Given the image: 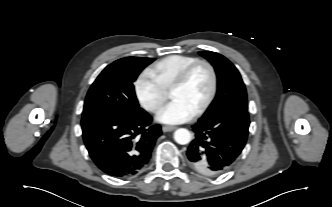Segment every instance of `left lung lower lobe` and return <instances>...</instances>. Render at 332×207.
<instances>
[{
    "label": "left lung lower lobe",
    "mask_w": 332,
    "mask_h": 207,
    "mask_svg": "<svg viewBox=\"0 0 332 207\" xmlns=\"http://www.w3.org/2000/svg\"><path fill=\"white\" fill-rule=\"evenodd\" d=\"M247 110L233 109L192 126L195 138L187 148L188 164L205 176L226 172L242 152L248 137Z\"/></svg>",
    "instance_id": "obj_1"
}]
</instances>
